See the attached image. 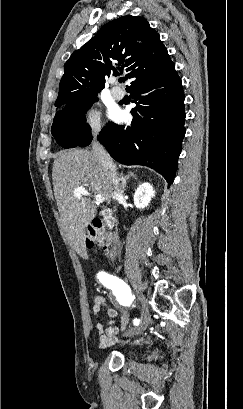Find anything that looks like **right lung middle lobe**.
<instances>
[{
    "instance_id": "1",
    "label": "right lung middle lobe",
    "mask_w": 243,
    "mask_h": 409,
    "mask_svg": "<svg viewBox=\"0 0 243 409\" xmlns=\"http://www.w3.org/2000/svg\"><path fill=\"white\" fill-rule=\"evenodd\" d=\"M97 97L67 104L56 113L51 128L56 142L64 148H74L90 137V126L85 123L84 112L92 106ZM60 107L61 105H56ZM75 122L76 124H74Z\"/></svg>"
}]
</instances>
